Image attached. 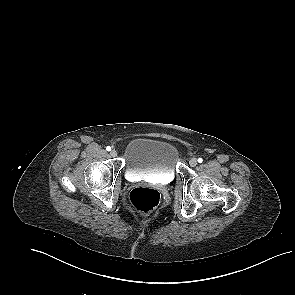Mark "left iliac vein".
I'll return each instance as SVG.
<instances>
[{"label":"left iliac vein","mask_w":295,"mask_h":295,"mask_svg":"<svg viewBox=\"0 0 295 295\" xmlns=\"http://www.w3.org/2000/svg\"><path fill=\"white\" fill-rule=\"evenodd\" d=\"M189 165H190L191 167H195V166L197 165V159H196V158H191V159L189 160Z\"/></svg>","instance_id":"obj_1"}]
</instances>
